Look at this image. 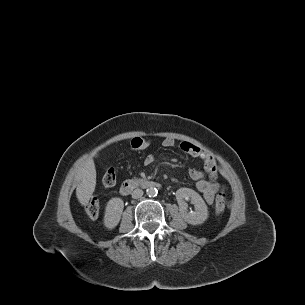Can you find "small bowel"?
<instances>
[{
	"label": "small bowel",
	"instance_id": "c3829d8e",
	"mask_svg": "<svg viewBox=\"0 0 305 305\" xmlns=\"http://www.w3.org/2000/svg\"><path fill=\"white\" fill-rule=\"evenodd\" d=\"M174 145L175 140L171 137H167L162 141L164 148H172ZM180 149L184 153L202 160L203 170L192 168L189 170V176L196 181V189L203 195L206 203L212 204L219 189L216 183L218 169L214 157L203 148L186 141L180 143ZM154 160L155 157L150 154L145 157L144 163L145 165H150Z\"/></svg>",
	"mask_w": 305,
	"mask_h": 305
}]
</instances>
